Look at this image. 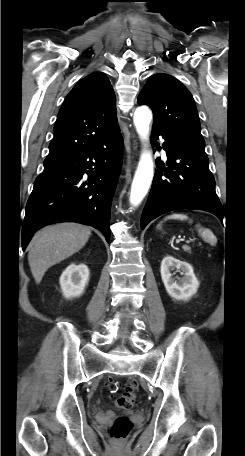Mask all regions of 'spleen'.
<instances>
[{"label":"spleen","mask_w":245,"mask_h":456,"mask_svg":"<svg viewBox=\"0 0 245 456\" xmlns=\"http://www.w3.org/2000/svg\"><path fill=\"white\" fill-rule=\"evenodd\" d=\"M167 219H179V220H187L188 219V216L185 215V214H172V215H168L165 217V220ZM158 227H161V224L158 225ZM198 227V231H199V234L202 236V238L211 243V244H215L216 243V237L214 236V234L212 233V231L210 229H205V228H202L200 227V225H197Z\"/></svg>","instance_id":"spleen-1"}]
</instances>
